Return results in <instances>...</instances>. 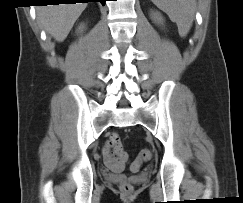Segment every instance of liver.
Segmentation results:
<instances>
[{
  "mask_svg": "<svg viewBox=\"0 0 243 203\" xmlns=\"http://www.w3.org/2000/svg\"><path fill=\"white\" fill-rule=\"evenodd\" d=\"M86 6V3L38 6L37 20L57 41L62 42Z\"/></svg>",
  "mask_w": 243,
  "mask_h": 203,
  "instance_id": "1",
  "label": "liver"
}]
</instances>
